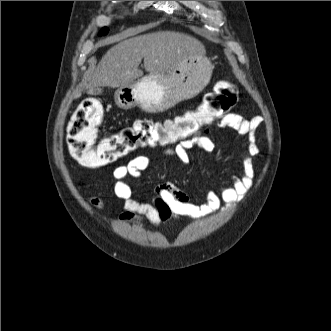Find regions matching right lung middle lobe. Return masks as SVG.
<instances>
[{
	"label": "right lung middle lobe",
	"mask_w": 331,
	"mask_h": 331,
	"mask_svg": "<svg viewBox=\"0 0 331 331\" xmlns=\"http://www.w3.org/2000/svg\"><path fill=\"white\" fill-rule=\"evenodd\" d=\"M109 29L107 27H104L101 32L99 33V35H106L108 33Z\"/></svg>",
	"instance_id": "dd1d6c3e"
}]
</instances>
